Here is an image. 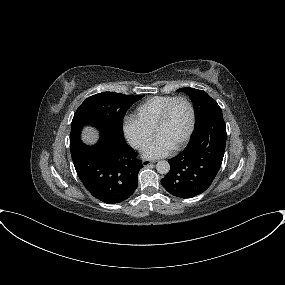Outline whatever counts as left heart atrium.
<instances>
[{
  "mask_svg": "<svg viewBox=\"0 0 285 285\" xmlns=\"http://www.w3.org/2000/svg\"><path fill=\"white\" fill-rule=\"evenodd\" d=\"M173 147L163 138L156 136L145 151L147 158H159L168 154Z\"/></svg>",
  "mask_w": 285,
  "mask_h": 285,
  "instance_id": "1",
  "label": "left heart atrium"
}]
</instances>
